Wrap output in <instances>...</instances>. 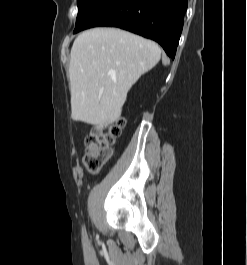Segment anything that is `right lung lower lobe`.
I'll return each mask as SVG.
<instances>
[{
  "label": "right lung lower lobe",
  "mask_w": 247,
  "mask_h": 265,
  "mask_svg": "<svg viewBox=\"0 0 247 265\" xmlns=\"http://www.w3.org/2000/svg\"><path fill=\"white\" fill-rule=\"evenodd\" d=\"M187 0H99L74 33L95 26L119 27L158 42L174 59Z\"/></svg>",
  "instance_id": "98d812e1"
}]
</instances>
